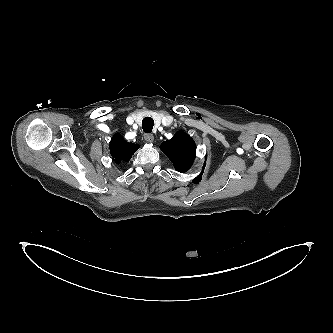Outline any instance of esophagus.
<instances>
[{"label": "esophagus", "mask_w": 333, "mask_h": 333, "mask_svg": "<svg viewBox=\"0 0 333 333\" xmlns=\"http://www.w3.org/2000/svg\"><path fill=\"white\" fill-rule=\"evenodd\" d=\"M144 139L148 143H152L154 141V136L152 134H145Z\"/></svg>", "instance_id": "esophagus-1"}]
</instances>
